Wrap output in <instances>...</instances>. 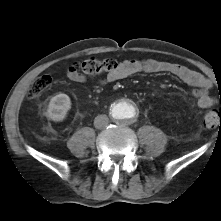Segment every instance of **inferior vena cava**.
I'll return each mask as SVG.
<instances>
[{"instance_id": "602c4592", "label": "inferior vena cava", "mask_w": 221, "mask_h": 221, "mask_svg": "<svg viewBox=\"0 0 221 221\" xmlns=\"http://www.w3.org/2000/svg\"><path fill=\"white\" fill-rule=\"evenodd\" d=\"M109 123V118L106 115H98L94 119V126L97 129L105 128Z\"/></svg>"}]
</instances>
